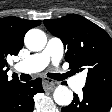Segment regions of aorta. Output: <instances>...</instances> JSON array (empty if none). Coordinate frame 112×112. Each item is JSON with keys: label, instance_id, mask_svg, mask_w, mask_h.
<instances>
[{"label": "aorta", "instance_id": "1", "mask_svg": "<svg viewBox=\"0 0 112 112\" xmlns=\"http://www.w3.org/2000/svg\"><path fill=\"white\" fill-rule=\"evenodd\" d=\"M24 42L29 50L41 51L47 43V37L42 30L31 29L26 33ZM53 98L58 105L68 106L73 100V93L67 86L59 85L53 93Z\"/></svg>", "mask_w": 112, "mask_h": 112}]
</instances>
